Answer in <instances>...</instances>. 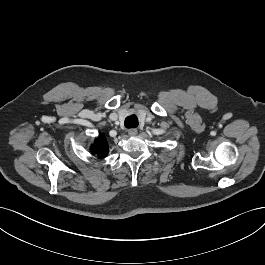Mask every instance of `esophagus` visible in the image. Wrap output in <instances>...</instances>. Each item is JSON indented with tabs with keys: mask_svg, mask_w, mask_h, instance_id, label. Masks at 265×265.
I'll use <instances>...</instances> for the list:
<instances>
[{
	"mask_svg": "<svg viewBox=\"0 0 265 265\" xmlns=\"http://www.w3.org/2000/svg\"><path fill=\"white\" fill-rule=\"evenodd\" d=\"M137 133H138V131H137V129H135V128H131V129H129V131H128V134H129L130 136H135V135H137Z\"/></svg>",
	"mask_w": 265,
	"mask_h": 265,
	"instance_id": "obj_1",
	"label": "esophagus"
}]
</instances>
